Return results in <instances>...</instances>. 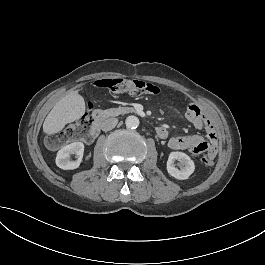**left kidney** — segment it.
I'll list each match as a JSON object with an SVG mask.
<instances>
[{
	"instance_id": "left-kidney-1",
	"label": "left kidney",
	"mask_w": 265,
	"mask_h": 265,
	"mask_svg": "<svg viewBox=\"0 0 265 265\" xmlns=\"http://www.w3.org/2000/svg\"><path fill=\"white\" fill-rule=\"evenodd\" d=\"M179 161L178 166L175 167L174 162ZM195 165L191 158L183 152H171L167 161L168 173L179 180L188 179V177L194 172Z\"/></svg>"
}]
</instances>
